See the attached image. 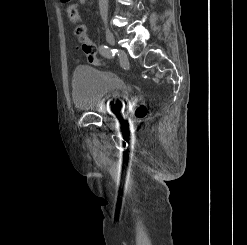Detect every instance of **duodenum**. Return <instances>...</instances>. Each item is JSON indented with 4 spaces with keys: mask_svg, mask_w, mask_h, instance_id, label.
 Returning a JSON list of instances; mask_svg holds the SVG:
<instances>
[{
    "mask_svg": "<svg viewBox=\"0 0 247 245\" xmlns=\"http://www.w3.org/2000/svg\"><path fill=\"white\" fill-rule=\"evenodd\" d=\"M81 3H84L86 0H79Z\"/></svg>",
    "mask_w": 247,
    "mask_h": 245,
    "instance_id": "obj_1",
    "label": "duodenum"
}]
</instances>
